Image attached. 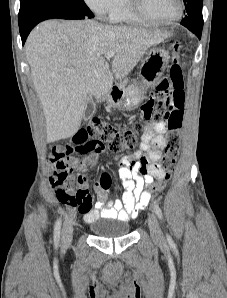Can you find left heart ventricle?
Instances as JSON below:
<instances>
[{"mask_svg": "<svg viewBox=\"0 0 227 298\" xmlns=\"http://www.w3.org/2000/svg\"><path fill=\"white\" fill-rule=\"evenodd\" d=\"M145 11L153 18L166 21L177 13L176 0H142Z\"/></svg>", "mask_w": 227, "mask_h": 298, "instance_id": "obj_1", "label": "left heart ventricle"}]
</instances>
